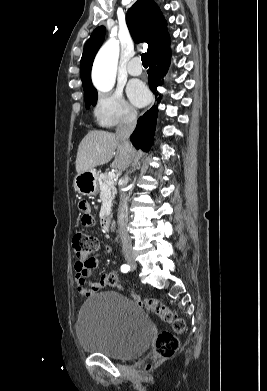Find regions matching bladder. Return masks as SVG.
I'll return each instance as SVG.
<instances>
[{"label":"bladder","mask_w":267,"mask_h":391,"mask_svg":"<svg viewBox=\"0 0 267 391\" xmlns=\"http://www.w3.org/2000/svg\"><path fill=\"white\" fill-rule=\"evenodd\" d=\"M146 312L119 292L92 296L80 308L76 334L81 348L114 359L141 355L153 336Z\"/></svg>","instance_id":"obj_1"}]
</instances>
